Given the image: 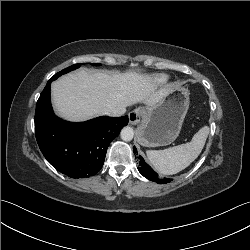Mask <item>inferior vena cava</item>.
<instances>
[{
  "mask_svg": "<svg viewBox=\"0 0 250 250\" xmlns=\"http://www.w3.org/2000/svg\"><path fill=\"white\" fill-rule=\"evenodd\" d=\"M123 114V112L122 111H120V110H111V111H108L107 113H106V115H108V116H112V117H119V116H121Z\"/></svg>",
  "mask_w": 250,
  "mask_h": 250,
  "instance_id": "1",
  "label": "inferior vena cava"
}]
</instances>
